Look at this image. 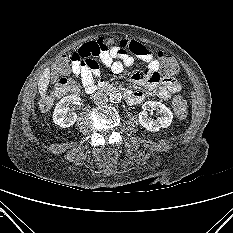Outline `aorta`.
<instances>
[{
  "label": "aorta",
  "mask_w": 233,
  "mask_h": 233,
  "mask_svg": "<svg viewBox=\"0 0 233 233\" xmlns=\"http://www.w3.org/2000/svg\"><path fill=\"white\" fill-rule=\"evenodd\" d=\"M121 93L118 91H113L110 93V101L113 103H118L121 101Z\"/></svg>",
  "instance_id": "1"
}]
</instances>
